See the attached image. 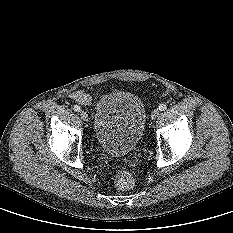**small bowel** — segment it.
Here are the masks:
<instances>
[{"instance_id":"1","label":"small bowel","mask_w":233,"mask_h":233,"mask_svg":"<svg viewBox=\"0 0 233 233\" xmlns=\"http://www.w3.org/2000/svg\"><path fill=\"white\" fill-rule=\"evenodd\" d=\"M72 98L75 101H77L83 105H87L91 102L90 96L82 91H77V92L73 93Z\"/></svg>"}]
</instances>
